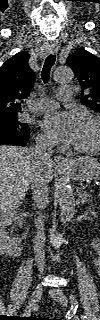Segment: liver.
<instances>
[{
    "instance_id": "6515ba94",
    "label": "liver",
    "mask_w": 100,
    "mask_h": 320,
    "mask_svg": "<svg viewBox=\"0 0 100 320\" xmlns=\"http://www.w3.org/2000/svg\"><path fill=\"white\" fill-rule=\"evenodd\" d=\"M36 161L30 149L18 146L0 147V208L15 210L28 191ZM48 180L53 179L52 163L47 166Z\"/></svg>"
}]
</instances>
